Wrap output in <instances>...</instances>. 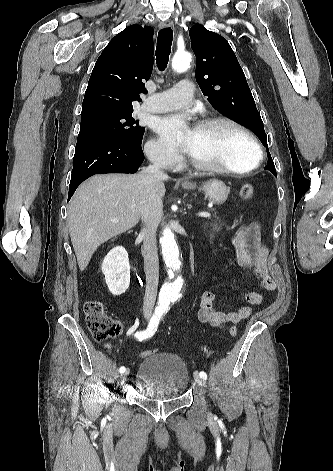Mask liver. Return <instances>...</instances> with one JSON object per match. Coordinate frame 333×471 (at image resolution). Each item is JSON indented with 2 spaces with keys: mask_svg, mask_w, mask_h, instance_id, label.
<instances>
[{
  "mask_svg": "<svg viewBox=\"0 0 333 471\" xmlns=\"http://www.w3.org/2000/svg\"><path fill=\"white\" fill-rule=\"evenodd\" d=\"M165 180L168 176L153 178L143 172L98 174L77 189L68 206V225L81 271L101 244L139 222L146 200L163 198Z\"/></svg>",
  "mask_w": 333,
  "mask_h": 471,
  "instance_id": "1",
  "label": "liver"
}]
</instances>
